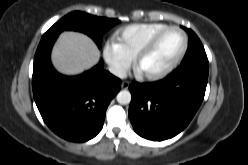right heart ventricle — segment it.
<instances>
[{
    "label": "right heart ventricle",
    "instance_id": "1",
    "mask_svg": "<svg viewBox=\"0 0 248 165\" xmlns=\"http://www.w3.org/2000/svg\"><path fill=\"white\" fill-rule=\"evenodd\" d=\"M167 27L163 23H136L125 26L116 32V42L131 58L156 32Z\"/></svg>",
    "mask_w": 248,
    "mask_h": 165
}]
</instances>
